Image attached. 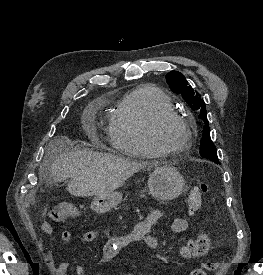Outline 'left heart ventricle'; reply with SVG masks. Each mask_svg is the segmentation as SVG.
I'll use <instances>...</instances> for the list:
<instances>
[{
    "label": "left heart ventricle",
    "mask_w": 263,
    "mask_h": 275,
    "mask_svg": "<svg viewBox=\"0 0 263 275\" xmlns=\"http://www.w3.org/2000/svg\"><path fill=\"white\" fill-rule=\"evenodd\" d=\"M160 144L166 148L180 146L186 138V129L180 122L170 120L165 122L157 132Z\"/></svg>",
    "instance_id": "b2bd125f"
}]
</instances>
